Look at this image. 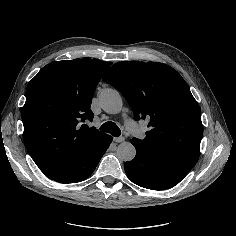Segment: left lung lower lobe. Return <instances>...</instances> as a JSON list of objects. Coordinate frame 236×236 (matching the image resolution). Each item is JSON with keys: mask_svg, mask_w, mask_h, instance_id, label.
Wrapping results in <instances>:
<instances>
[{"mask_svg": "<svg viewBox=\"0 0 236 236\" xmlns=\"http://www.w3.org/2000/svg\"><path fill=\"white\" fill-rule=\"evenodd\" d=\"M131 143L136 148V156L132 161L125 162L124 169L136 185L163 190L178 184L188 173L168 159Z\"/></svg>", "mask_w": 236, "mask_h": 236, "instance_id": "0a47b994", "label": "left lung lower lobe"}]
</instances>
